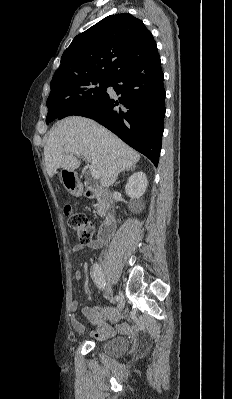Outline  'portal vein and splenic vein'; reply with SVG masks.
Returning <instances> with one entry per match:
<instances>
[{
    "instance_id": "portal-vein-and-splenic-vein-1",
    "label": "portal vein and splenic vein",
    "mask_w": 232,
    "mask_h": 399,
    "mask_svg": "<svg viewBox=\"0 0 232 399\" xmlns=\"http://www.w3.org/2000/svg\"><path fill=\"white\" fill-rule=\"evenodd\" d=\"M64 152L65 154H76V156H81L80 152H78V150H75V148H71V146H64ZM91 174L94 180H99L100 174L99 172H97V170H92Z\"/></svg>"
}]
</instances>
